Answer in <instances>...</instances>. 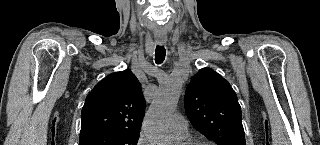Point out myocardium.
Wrapping results in <instances>:
<instances>
[{
	"label": "myocardium",
	"mask_w": 320,
	"mask_h": 145,
	"mask_svg": "<svg viewBox=\"0 0 320 145\" xmlns=\"http://www.w3.org/2000/svg\"><path fill=\"white\" fill-rule=\"evenodd\" d=\"M183 145H209L207 142L205 141H201V140H189L184 142Z\"/></svg>",
	"instance_id": "f54148a6"
}]
</instances>
